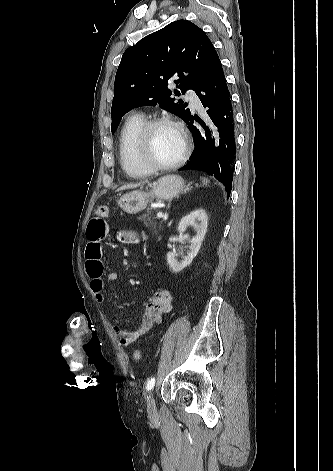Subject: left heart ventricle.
I'll return each mask as SVG.
<instances>
[{"label":"left heart ventricle","instance_id":"b2bd125f","mask_svg":"<svg viewBox=\"0 0 333 471\" xmlns=\"http://www.w3.org/2000/svg\"><path fill=\"white\" fill-rule=\"evenodd\" d=\"M182 140L179 133L169 125L157 127L151 135V155L157 163L167 164L181 153Z\"/></svg>","mask_w":333,"mask_h":471}]
</instances>
